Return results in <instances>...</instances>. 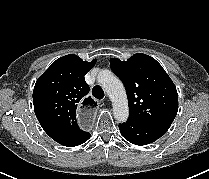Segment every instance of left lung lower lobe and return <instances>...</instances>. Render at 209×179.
I'll return each instance as SVG.
<instances>
[{
    "instance_id": "1",
    "label": "left lung lower lobe",
    "mask_w": 209,
    "mask_h": 179,
    "mask_svg": "<svg viewBox=\"0 0 209 179\" xmlns=\"http://www.w3.org/2000/svg\"><path fill=\"white\" fill-rule=\"evenodd\" d=\"M119 129L122 136L135 145L150 144L166 133L163 129L141 123L131 118H128L126 123L119 124Z\"/></svg>"
}]
</instances>
